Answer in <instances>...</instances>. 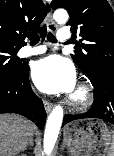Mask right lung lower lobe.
Segmentation results:
<instances>
[{
    "label": "right lung lower lobe",
    "instance_id": "1",
    "mask_svg": "<svg viewBox=\"0 0 114 156\" xmlns=\"http://www.w3.org/2000/svg\"><path fill=\"white\" fill-rule=\"evenodd\" d=\"M46 30L41 32L45 37ZM29 67L24 65L21 73L13 80L0 81V113H17L32 120L43 128L46 112L43 102L32 91L29 83Z\"/></svg>",
    "mask_w": 114,
    "mask_h": 156
}]
</instances>
